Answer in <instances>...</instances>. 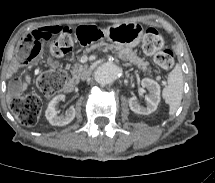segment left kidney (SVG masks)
<instances>
[{"instance_id": "1", "label": "left kidney", "mask_w": 215, "mask_h": 183, "mask_svg": "<svg viewBox=\"0 0 215 183\" xmlns=\"http://www.w3.org/2000/svg\"><path fill=\"white\" fill-rule=\"evenodd\" d=\"M141 85L149 91V94L145 96L146 107L141 106L135 96L129 98V107L137 114L149 115L157 109L160 102V86L156 81L149 78L142 79Z\"/></svg>"}]
</instances>
